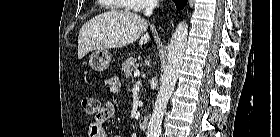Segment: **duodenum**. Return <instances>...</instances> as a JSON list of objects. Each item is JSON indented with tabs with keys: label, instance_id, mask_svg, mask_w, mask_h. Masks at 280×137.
<instances>
[{
	"label": "duodenum",
	"instance_id": "duodenum-1",
	"mask_svg": "<svg viewBox=\"0 0 280 137\" xmlns=\"http://www.w3.org/2000/svg\"><path fill=\"white\" fill-rule=\"evenodd\" d=\"M139 128L142 131H146L149 126V117L148 116H141L138 122Z\"/></svg>",
	"mask_w": 280,
	"mask_h": 137
}]
</instances>
